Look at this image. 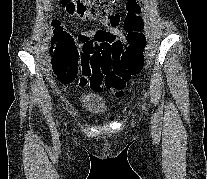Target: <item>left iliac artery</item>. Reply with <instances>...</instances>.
I'll return each instance as SVG.
<instances>
[{
    "label": "left iliac artery",
    "mask_w": 207,
    "mask_h": 179,
    "mask_svg": "<svg viewBox=\"0 0 207 179\" xmlns=\"http://www.w3.org/2000/svg\"><path fill=\"white\" fill-rule=\"evenodd\" d=\"M143 109L146 110L145 106H143Z\"/></svg>",
    "instance_id": "44dca946"
}]
</instances>
